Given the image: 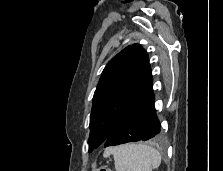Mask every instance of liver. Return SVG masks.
<instances>
[{
	"instance_id": "6515ba94",
	"label": "liver",
	"mask_w": 223,
	"mask_h": 171,
	"mask_svg": "<svg viewBox=\"0 0 223 171\" xmlns=\"http://www.w3.org/2000/svg\"><path fill=\"white\" fill-rule=\"evenodd\" d=\"M110 153H111V152H110V149H107V150L105 151V153H104V156L106 157V156H108Z\"/></svg>"
}]
</instances>
